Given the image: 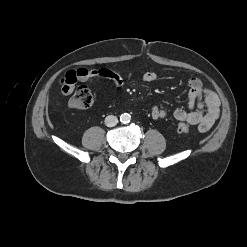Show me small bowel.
<instances>
[{
    "mask_svg": "<svg viewBox=\"0 0 247 247\" xmlns=\"http://www.w3.org/2000/svg\"><path fill=\"white\" fill-rule=\"evenodd\" d=\"M130 77L131 75H122L107 68H78L68 71L61 79V92L64 95H70L78 82H86L92 78L109 79L116 87H121L125 79ZM158 78L159 75L153 71L143 75V80L147 83H153ZM188 87L190 111L175 109L172 112V117L177 121L197 126L201 132H206L214 125L220 115L219 99L213 91L206 89L198 78H190ZM204 107L206 108L205 111L203 110ZM151 115L154 119H162L167 116V111L158 105H153Z\"/></svg>",
    "mask_w": 247,
    "mask_h": 247,
    "instance_id": "c3829d8e",
    "label": "small bowel"
}]
</instances>
